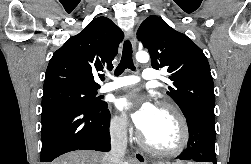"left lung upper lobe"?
<instances>
[{"instance_id": "5c2ea615", "label": "left lung upper lobe", "mask_w": 251, "mask_h": 164, "mask_svg": "<svg viewBox=\"0 0 251 164\" xmlns=\"http://www.w3.org/2000/svg\"><path fill=\"white\" fill-rule=\"evenodd\" d=\"M137 38L148 49L153 68H168L172 83L167 94L184 115L199 108L214 111L210 66L203 51L191 39L157 16L142 22Z\"/></svg>"}]
</instances>
